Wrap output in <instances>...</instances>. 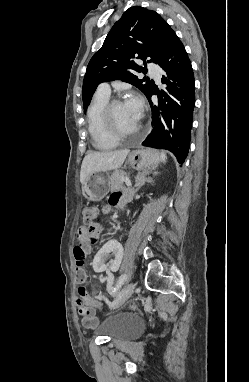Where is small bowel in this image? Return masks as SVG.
<instances>
[{
    "mask_svg": "<svg viewBox=\"0 0 249 382\" xmlns=\"http://www.w3.org/2000/svg\"><path fill=\"white\" fill-rule=\"evenodd\" d=\"M128 195L124 191H115L113 192L108 200V210L120 205H123L127 202ZM100 228L97 225L91 227L82 226L77 231V240L76 248H88L91 243L95 242L98 238ZM96 243V242H95ZM108 245V244H107ZM104 281V280H103ZM78 284H83L84 282H77ZM107 286L110 288L112 283H107ZM76 304L80 306V315L82 316L83 326L87 329H91L97 326L98 319L96 316V309L101 308V303L99 300L93 299L88 295L83 298L78 297L76 299ZM90 311L86 313L85 311Z\"/></svg>",
    "mask_w": 249,
    "mask_h": 382,
    "instance_id": "obj_1",
    "label": "small bowel"
}]
</instances>
